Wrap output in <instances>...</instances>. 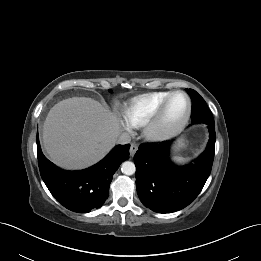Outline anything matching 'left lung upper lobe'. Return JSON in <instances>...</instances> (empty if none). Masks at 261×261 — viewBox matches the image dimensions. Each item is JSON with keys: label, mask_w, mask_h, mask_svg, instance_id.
<instances>
[{"label": "left lung upper lobe", "mask_w": 261, "mask_h": 261, "mask_svg": "<svg viewBox=\"0 0 261 261\" xmlns=\"http://www.w3.org/2000/svg\"><path fill=\"white\" fill-rule=\"evenodd\" d=\"M192 99V114L191 119L193 123H207L214 122L211 111L204 99L194 90L186 89Z\"/></svg>", "instance_id": "5c2ea615"}]
</instances>
